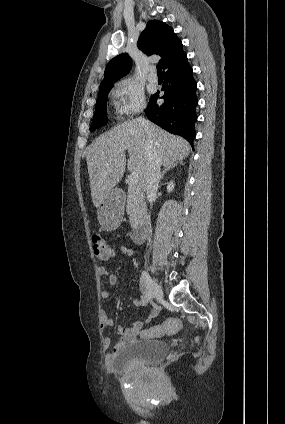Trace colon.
Returning a JSON list of instances; mask_svg holds the SVG:
<instances>
[{
  "label": "colon",
  "mask_w": 285,
  "mask_h": 424,
  "mask_svg": "<svg viewBox=\"0 0 285 424\" xmlns=\"http://www.w3.org/2000/svg\"><path fill=\"white\" fill-rule=\"evenodd\" d=\"M92 249L94 256L101 260H107L114 254L111 244L102 236L95 235L92 239ZM181 324L174 318H169L160 325L145 330L142 333L143 338H154L164 335H171L179 331Z\"/></svg>",
  "instance_id": "1"
}]
</instances>
